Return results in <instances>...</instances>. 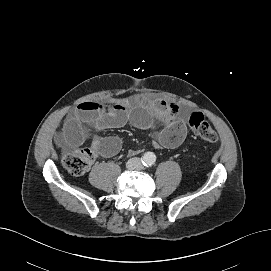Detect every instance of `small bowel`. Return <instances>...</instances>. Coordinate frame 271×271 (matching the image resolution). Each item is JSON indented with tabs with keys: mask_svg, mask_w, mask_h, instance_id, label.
I'll use <instances>...</instances> for the list:
<instances>
[{
	"mask_svg": "<svg viewBox=\"0 0 271 271\" xmlns=\"http://www.w3.org/2000/svg\"><path fill=\"white\" fill-rule=\"evenodd\" d=\"M128 121L141 129L160 124L162 130L158 143L165 148L179 146L187 135L177 104L137 94L129 99L112 98L108 104L94 101L80 103L63 123L56 142L62 148L82 145L86 141L84 127L87 125L92 131V149L103 157H112L120 151L121 140L115 136L103 137L100 133L120 128Z\"/></svg>",
	"mask_w": 271,
	"mask_h": 271,
	"instance_id": "c3829d8e",
	"label": "small bowel"
}]
</instances>
